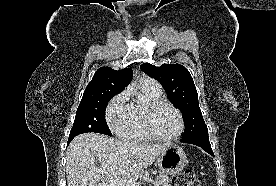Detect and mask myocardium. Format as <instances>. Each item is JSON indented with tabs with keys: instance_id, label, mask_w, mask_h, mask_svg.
<instances>
[{
	"instance_id": "1",
	"label": "myocardium",
	"mask_w": 276,
	"mask_h": 186,
	"mask_svg": "<svg viewBox=\"0 0 276 186\" xmlns=\"http://www.w3.org/2000/svg\"><path fill=\"white\" fill-rule=\"evenodd\" d=\"M162 106H168L171 109H173L175 111V113L178 115V118L180 121V127H179L178 132L175 135L170 136V137L160 136L159 134H157V132L155 131L154 126H153L154 114ZM144 123H145L146 130H147L148 134L150 135V137L152 139H155L158 141H163V142H170V141L177 140L183 134V132L185 130V120H184V117H183V114L181 113V111L174 104H172L171 102L164 100V99L153 101L152 103H150L148 105V107L145 110V114H144Z\"/></svg>"
}]
</instances>
